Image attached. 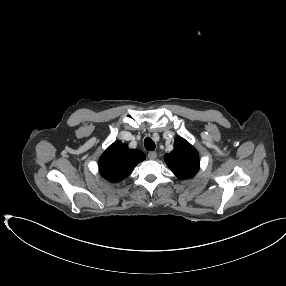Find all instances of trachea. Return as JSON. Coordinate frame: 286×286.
<instances>
[{
	"instance_id": "trachea-1",
	"label": "trachea",
	"mask_w": 286,
	"mask_h": 286,
	"mask_svg": "<svg viewBox=\"0 0 286 286\" xmlns=\"http://www.w3.org/2000/svg\"><path fill=\"white\" fill-rule=\"evenodd\" d=\"M144 146H145L146 150H148V151H154L155 150V143L149 137L145 138Z\"/></svg>"
}]
</instances>
